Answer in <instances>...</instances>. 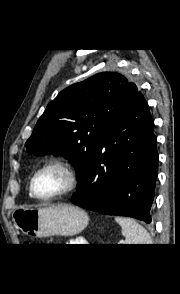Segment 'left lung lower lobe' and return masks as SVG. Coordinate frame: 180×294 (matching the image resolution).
<instances>
[{
  "label": "left lung lower lobe",
  "mask_w": 180,
  "mask_h": 294,
  "mask_svg": "<svg viewBox=\"0 0 180 294\" xmlns=\"http://www.w3.org/2000/svg\"><path fill=\"white\" fill-rule=\"evenodd\" d=\"M153 129L148 103L138 92L101 142L71 202L102 214L150 223L158 172Z\"/></svg>",
  "instance_id": "1"
}]
</instances>
